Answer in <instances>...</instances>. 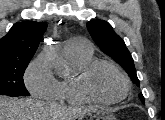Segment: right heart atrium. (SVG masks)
Returning a JSON list of instances; mask_svg holds the SVG:
<instances>
[{
  "instance_id": "1",
  "label": "right heart atrium",
  "mask_w": 165,
  "mask_h": 120,
  "mask_svg": "<svg viewBox=\"0 0 165 120\" xmlns=\"http://www.w3.org/2000/svg\"><path fill=\"white\" fill-rule=\"evenodd\" d=\"M27 89L36 97L55 99L59 82L54 77L47 58L40 54L28 66L25 73Z\"/></svg>"
}]
</instances>
